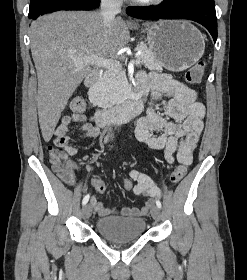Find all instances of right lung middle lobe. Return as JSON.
Returning <instances> with one entry per match:
<instances>
[{
	"label": "right lung middle lobe",
	"mask_w": 247,
	"mask_h": 280,
	"mask_svg": "<svg viewBox=\"0 0 247 280\" xmlns=\"http://www.w3.org/2000/svg\"><path fill=\"white\" fill-rule=\"evenodd\" d=\"M44 0H31L30 9L36 8Z\"/></svg>",
	"instance_id": "dd1d6c3e"
}]
</instances>
